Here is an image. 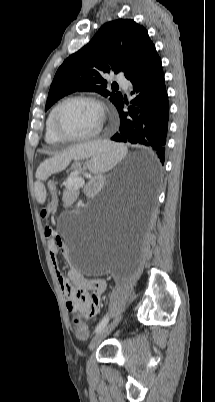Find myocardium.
Wrapping results in <instances>:
<instances>
[{"mask_svg": "<svg viewBox=\"0 0 215 402\" xmlns=\"http://www.w3.org/2000/svg\"><path fill=\"white\" fill-rule=\"evenodd\" d=\"M71 101H87V102L94 103L95 105H97L100 108L101 113H102V121H101V124L99 125V127L94 132L86 134V135L75 136V135H70L61 129V127L58 123L59 112L65 104H67ZM107 118H108V109H107V106L105 105V103L101 99H99L95 96H91V95H73V96L64 98L54 107L53 114H52V127H53L55 134L64 141L84 142V141H90V140L96 139L97 137H99L102 134L105 123L107 121Z\"/></svg>", "mask_w": 215, "mask_h": 402, "instance_id": "myocardium-1", "label": "myocardium"}]
</instances>
